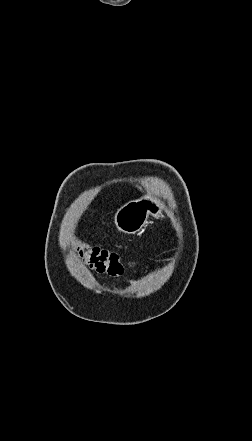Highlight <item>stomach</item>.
<instances>
[{
  "label": "stomach",
  "instance_id": "obj_1",
  "mask_svg": "<svg viewBox=\"0 0 252 441\" xmlns=\"http://www.w3.org/2000/svg\"><path fill=\"white\" fill-rule=\"evenodd\" d=\"M164 205L150 194L121 206L114 217L116 228L126 234H136L146 225L149 215L163 216Z\"/></svg>",
  "mask_w": 252,
  "mask_h": 441
}]
</instances>
